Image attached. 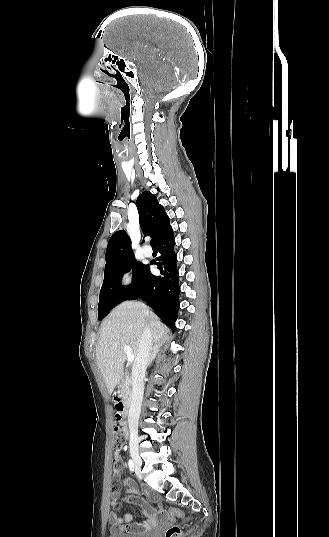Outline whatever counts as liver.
I'll return each mask as SVG.
<instances>
[{
    "label": "liver",
    "mask_w": 329,
    "mask_h": 537,
    "mask_svg": "<svg viewBox=\"0 0 329 537\" xmlns=\"http://www.w3.org/2000/svg\"><path fill=\"white\" fill-rule=\"evenodd\" d=\"M150 328L152 341L160 343L169 332L160 319L144 304L127 301L117 306L102 322L96 347L98 367L111 395L123 375L126 352L124 346L136 355L141 335Z\"/></svg>",
    "instance_id": "liver-1"
}]
</instances>
